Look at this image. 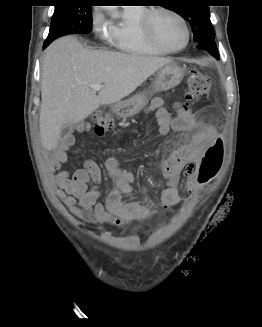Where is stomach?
Listing matches in <instances>:
<instances>
[{"label": "stomach", "instance_id": "0dacf381", "mask_svg": "<svg viewBox=\"0 0 262 327\" xmlns=\"http://www.w3.org/2000/svg\"><path fill=\"white\" fill-rule=\"evenodd\" d=\"M183 76L184 70L180 66L176 63L167 64L157 72L151 91L116 102L112 105V110L121 118L132 117L147 105L154 93L174 88L182 81Z\"/></svg>", "mask_w": 262, "mask_h": 327}]
</instances>
